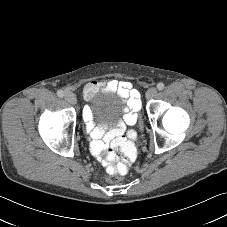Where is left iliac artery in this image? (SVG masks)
<instances>
[{"label":"left iliac artery","instance_id":"obj_1","mask_svg":"<svg viewBox=\"0 0 227 227\" xmlns=\"http://www.w3.org/2000/svg\"><path fill=\"white\" fill-rule=\"evenodd\" d=\"M157 89L158 90H163L164 89V83L160 82L157 84Z\"/></svg>","mask_w":227,"mask_h":227}]
</instances>
